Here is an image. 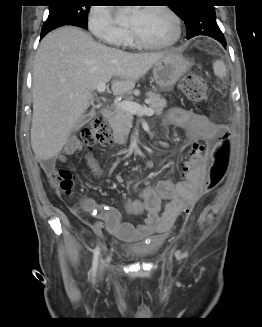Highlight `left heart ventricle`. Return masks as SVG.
Returning a JSON list of instances; mask_svg holds the SVG:
<instances>
[{
    "label": "left heart ventricle",
    "instance_id": "1",
    "mask_svg": "<svg viewBox=\"0 0 262 327\" xmlns=\"http://www.w3.org/2000/svg\"><path fill=\"white\" fill-rule=\"evenodd\" d=\"M128 27L150 42H164L174 34V24L164 12L155 9H143L139 16L131 14Z\"/></svg>",
    "mask_w": 262,
    "mask_h": 327
}]
</instances>
